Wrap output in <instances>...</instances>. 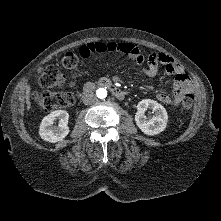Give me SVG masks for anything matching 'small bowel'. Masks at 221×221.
<instances>
[{
  "mask_svg": "<svg viewBox=\"0 0 221 221\" xmlns=\"http://www.w3.org/2000/svg\"><path fill=\"white\" fill-rule=\"evenodd\" d=\"M95 53L126 54L149 77L156 76L159 64H162L165 67L166 75L174 78V91L172 95L160 92L157 94V99L167 105H177L187 97L192 98L193 87L188 75L172 57L165 53L153 52L145 57L136 45L121 41H94L85 43L79 48V54L82 58H88Z\"/></svg>",
  "mask_w": 221,
  "mask_h": 221,
  "instance_id": "c3829d8e",
  "label": "small bowel"
}]
</instances>
